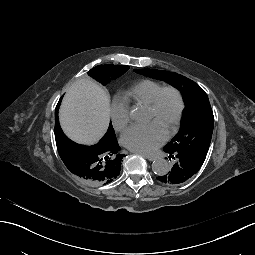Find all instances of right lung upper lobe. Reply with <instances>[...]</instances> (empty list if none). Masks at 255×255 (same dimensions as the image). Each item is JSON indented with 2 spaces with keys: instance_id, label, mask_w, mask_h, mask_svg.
Returning <instances> with one entry per match:
<instances>
[{
  "instance_id": "right-lung-upper-lobe-1",
  "label": "right lung upper lobe",
  "mask_w": 255,
  "mask_h": 255,
  "mask_svg": "<svg viewBox=\"0 0 255 255\" xmlns=\"http://www.w3.org/2000/svg\"><path fill=\"white\" fill-rule=\"evenodd\" d=\"M61 99L55 110V139L59 155L64 164L80 179L79 153L83 150L90 154L97 153L100 156V174L89 177L87 180H80L91 185H105L112 182L120 173L121 161L124 157V154L120 152L112 125H110L104 137L95 145L84 146L71 141L63 133L58 121V108Z\"/></svg>"
}]
</instances>
